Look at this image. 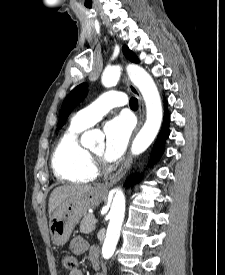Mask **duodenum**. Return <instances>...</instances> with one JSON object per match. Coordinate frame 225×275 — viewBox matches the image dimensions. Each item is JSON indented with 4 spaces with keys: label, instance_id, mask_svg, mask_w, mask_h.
<instances>
[{
    "label": "duodenum",
    "instance_id": "obj_1",
    "mask_svg": "<svg viewBox=\"0 0 225 275\" xmlns=\"http://www.w3.org/2000/svg\"><path fill=\"white\" fill-rule=\"evenodd\" d=\"M91 261H92L93 268L95 270H97L99 268V264H98L97 258L95 256H92Z\"/></svg>",
    "mask_w": 225,
    "mask_h": 275
}]
</instances>
